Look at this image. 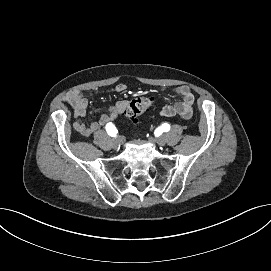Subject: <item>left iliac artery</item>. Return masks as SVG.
Masks as SVG:
<instances>
[{
    "mask_svg": "<svg viewBox=\"0 0 271 271\" xmlns=\"http://www.w3.org/2000/svg\"><path fill=\"white\" fill-rule=\"evenodd\" d=\"M162 128L164 129L165 132H168L170 130V125L167 123L162 124Z\"/></svg>",
    "mask_w": 271,
    "mask_h": 271,
    "instance_id": "44dca946",
    "label": "left iliac artery"
}]
</instances>
